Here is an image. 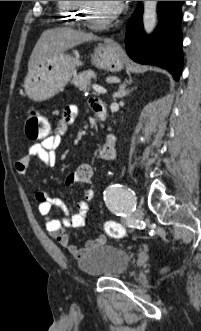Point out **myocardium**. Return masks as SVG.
Instances as JSON below:
<instances>
[{
    "mask_svg": "<svg viewBox=\"0 0 201 331\" xmlns=\"http://www.w3.org/2000/svg\"><path fill=\"white\" fill-rule=\"evenodd\" d=\"M76 4H78L79 7H81V14L79 16H82V21L84 24L91 26V27H97V28H101V27H105L108 24H110L112 21H114L122 12L123 10V5L120 2L117 6V8L110 14L108 15L105 19H103L102 21L99 22H93L91 20L88 19L87 17V5L89 4L88 1H74Z\"/></svg>",
    "mask_w": 201,
    "mask_h": 331,
    "instance_id": "1",
    "label": "myocardium"
}]
</instances>
